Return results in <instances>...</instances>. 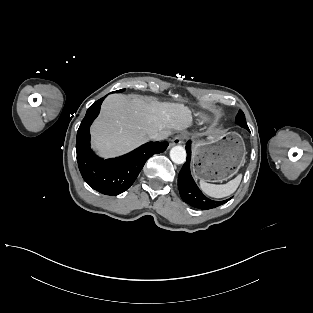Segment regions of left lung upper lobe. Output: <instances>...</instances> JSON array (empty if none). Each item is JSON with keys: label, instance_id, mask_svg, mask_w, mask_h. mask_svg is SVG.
Segmentation results:
<instances>
[{"label": "left lung upper lobe", "instance_id": "1", "mask_svg": "<svg viewBox=\"0 0 313 313\" xmlns=\"http://www.w3.org/2000/svg\"><path fill=\"white\" fill-rule=\"evenodd\" d=\"M236 123L241 126L242 128H245L246 130H249L246 120H245V115L242 110H239L237 116H236Z\"/></svg>", "mask_w": 313, "mask_h": 313}]
</instances>
